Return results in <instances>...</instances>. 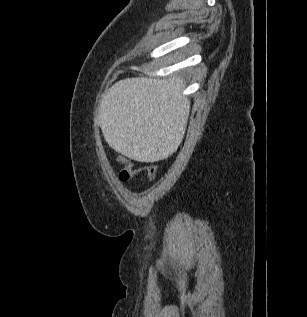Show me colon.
<instances>
[{
	"label": "colon",
	"mask_w": 307,
	"mask_h": 317,
	"mask_svg": "<svg viewBox=\"0 0 307 317\" xmlns=\"http://www.w3.org/2000/svg\"><path fill=\"white\" fill-rule=\"evenodd\" d=\"M116 161L122 165V169L119 172V179L122 182H127L134 177L139 171L135 169L132 161L125 156H118ZM147 172V178L149 181H153L157 175V166L154 164H148L143 168Z\"/></svg>",
	"instance_id": "1"
}]
</instances>
